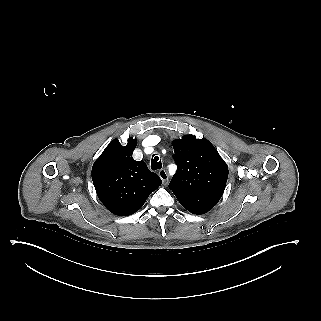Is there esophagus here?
Instances as JSON below:
<instances>
[{
  "label": "esophagus",
  "mask_w": 321,
  "mask_h": 321,
  "mask_svg": "<svg viewBox=\"0 0 321 321\" xmlns=\"http://www.w3.org/2000/svg\"><path fill=\"white\" fill-rule=\"evenodd\" d=\"M159 177L162 179L165 186L168 185L169 178H168L167 172L164 169H161L159 171Z\"/></svg>",
  "instance_id": "34e87169"
}]
</instances>
